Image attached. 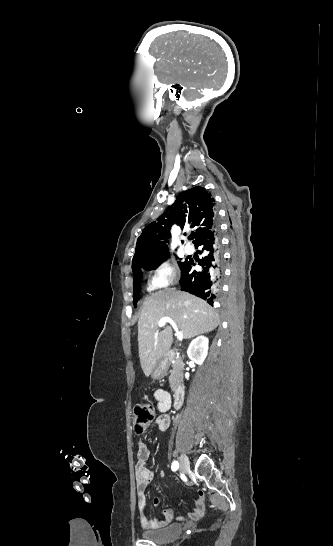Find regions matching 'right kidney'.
Returning a JSON list of instances; mask_svg holds the SVG:
<instances>
[{"label": "right kidney", "instance_id": "ca27d5eb", "mask_svg": "<svg viewBox=\"0 0 333 546\" xmlns=\"http://www.w3.org/2000/svg\"><path fill=\"white\" fill-rule=\"evenodd\" d=\"M208 343V338L204 336H199L194 339L188 347V357L198 365L203 364L207 356Z\"/></svg>", "mask_w": 333, "mask_h": 546}]
</instances>
